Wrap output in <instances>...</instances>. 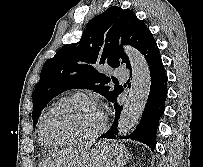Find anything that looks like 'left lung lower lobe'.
Segmentation results:
<instances>
[{
  "instance_id": "1",
  "label": "left lung lower lobe",
  "mask_w": 203,
  "mask_h": 167,
  "mask_svg": "<svg viewBox=\"0 0 203 167\" xmlns=\"http://www.w3.org/2000/svg\"><path fill=\"white\" fill-rule=\"evenodd\" d=\"M142 54L144 55L150 70V92L139 125L125 138L140 141L148 145L151 149H154L156 146V131L159 119L164 113L165 100L167 98L168 77L154 39L146 45ZM129 69L131 70V67ZM114 108L116 112L113 125L105 134L100 136V138H118L117 126L123 106H120L117 102H115Z\"/></svg>"
}]
</instances>
